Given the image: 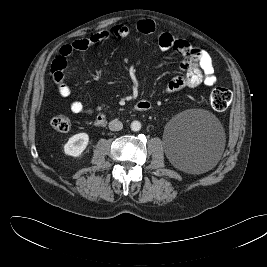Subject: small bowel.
Segmentation results:
<instances>
[{
  "mask_svg": "<svg viewBox=\"0 0 267 267\" xmlns=\"http://www.w3.org/2000/svg\"><path fill=\"white\" fill-rule=\"evenodd\" d=\"M136 30L141 34H152L156 31V25L150 19H143L137 22ZM129 33V28L126 25L117 24L110 29L98 31L89 37L80 38L62 46L51 66V76L60 96L69 98L71 95V89L65 83L63 74L70 56L77 51H84L92 46L98 45L109 38L124 39L129 36ZM154 49L157 51H171L182 57V73L167 84V92L173 93L185 88H195L200 85L211 87L216 83L212 59L201 47L175 38L170 33H162L159 35ZM70 110L75 114L91 115L93 113L91 108H87L79 100L70 102Z\"/></svg>",
  "mask_w": 267,
  "mask_h": 267,
  "instance_id": "1",
  "label": "small bowel"
}]
</instances>
